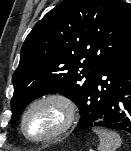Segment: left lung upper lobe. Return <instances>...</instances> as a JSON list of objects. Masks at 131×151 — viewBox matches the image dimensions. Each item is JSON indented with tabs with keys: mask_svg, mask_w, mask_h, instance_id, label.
<instances>
[{
	"mask_svg": "<svg viewBox=\"0 0 131 151\" xmlns=\"http://www.w3.org/2000/svg\"><path fill=\"white\" fill-rule=\"evenodd\" d=\"M131 44V12L122 0H63L35 24L13 74L12 118L46 94L61 93L80 113L98 71Z\"/></svg>",
	"mask_w": 131,
	"mask_h": 151,
	"instance_id": "5c2ea615",
	"label": "left lung upper lobe"
}]
</instances>
